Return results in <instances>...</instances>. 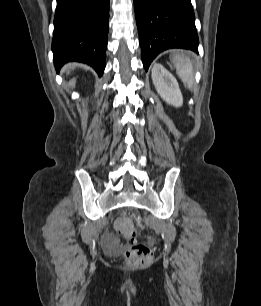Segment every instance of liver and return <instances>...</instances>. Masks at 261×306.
Masks as SVG:
<instances>
[{
	"label": "liver",
	"mask_w": 261,
	"mask_h": 306,
	"mask_svg": "<svg viewBox=\"0 0 261 306\" xmlns=\"http://www.w3.org/2000/svg\"><path fill=\"white\" fill-rule=\"evenodd\" d=\"M72 68V65H68L67 67H66V69H68V72H69V70Z\"/></svg>",
	"instance_id": "1"
}]
</instances>
